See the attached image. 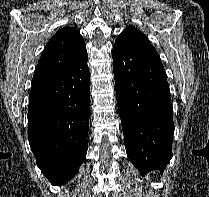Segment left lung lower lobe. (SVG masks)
Here are the masks:
<instances>
[{
  "label": "left lung lower lobe",
  "mask_w": 209,
  "mask_h": 197,
  "mask_svg": "<svg viewBox=\"0 0 209 197\" xmlns=\"http://www.w3.org/2000/svg\"><path fill=\"white\" fill-rule=\"evenodd\" d=\"M116 98L127 156L142 175L166 168L174 123L169 85L158 54L113 46Z\"/></svg>",
  "instance_id": "1"
}]
</instances>
